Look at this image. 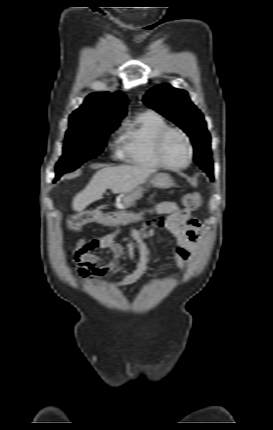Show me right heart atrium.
Returning a JSON list of instances; mask_svg holds the SVG:
<instances>
[{"instance_id": "obj_1", "label": "right heart atrium", "mask_w": 273, "mask_h": 430, "mask_svg": "<svg viewBox=\"0 0 273 430\" xmlns=\"http://www.w3.org/2000/svg\"><path fill=\"white\" fill-rule=\"evenodd\" d=\"M119 143H120V139H117L111 144V147L116 154L119 153Z\"/></svg>"}]
</instances>
